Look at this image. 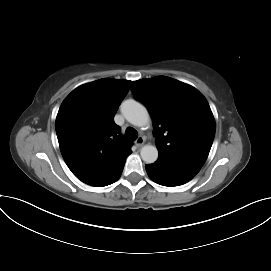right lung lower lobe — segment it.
<instances>
[{"mask_svg": "<svg viewBox=\"0 0 271 271\" xmlns=\"http://www.w3.org/2000/svg\"><path fill=\"white\" fill-rule=\"evenodd\" d=\"M123 168H124V165H123L121 168H119V169L117 170V172H116L112 177H110L107 181H105V182H103V183H101V184H99V185H96V186L102 187V186H107V185H109V184L114 183V182L117 181V180L119 179V177L121 176V173H122V171H123Z\"/></svg>", "mask_w": 271, "mask_h": 271, "instance_id": "obj_1", "label": "right lung lower lobe"}]
</instances>
